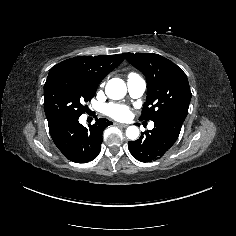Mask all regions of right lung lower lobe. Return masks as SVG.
<instances>
[{"mask_svg": "<svg viewBox=\"0 0 236 236\" xmlns=\"http://www.w3.org/2000/svg\"><path fill=\"white\" fill-rule=\"evenodd\" d=\"M78 119L79 117H75L49 125V132L55 145L67 159L85 163L99 154L103 130L112 122L96 118L95 124L86 128Z\"/></svg>", "mask_w": 236, "mask_h": 236, "instance_id": "98d812e1", "label": "right lung lower lobe"}]
</instances>
